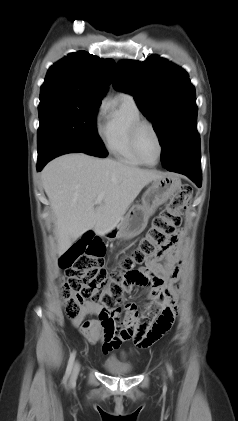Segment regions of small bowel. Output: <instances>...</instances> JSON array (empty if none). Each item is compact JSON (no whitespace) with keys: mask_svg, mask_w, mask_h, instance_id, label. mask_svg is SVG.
I'll use <instances>...</instances> for the list:
<instances>
[{"mask_svg":"<svg viewBox=\"0 0 238 421\" xmlns=\"http://www.w3.org/2000/svg\"><path fill=\"white\" fill-rule=\"evenodd\" d=\"M181 250L180 237L175 236L172 244L147 262L146 267L130 273L132 289L141 287L147 291L150 305L139 313L135 303L125 304V317L119 321L114 317L112 325L100 319H85L99 315L102 308L85 302L81 314L72 320V325L92 344L100 343L102 351L109 353L118 349L122 342L134 340L139 347L149 333L171 325L178 300V281L180 279Z\"/></svg>","mask_w":238,"mask_h":421,"instance_id":"obj_1","label":"small bowel"}]
</instances>
